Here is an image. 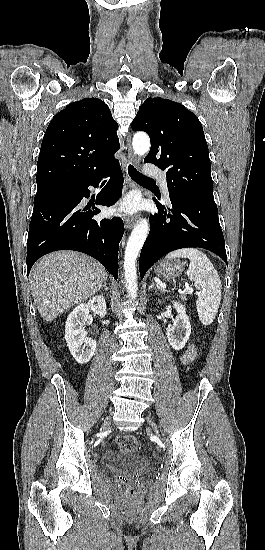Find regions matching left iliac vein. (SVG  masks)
<instances>
[{
  "label": "left iliac vein",
  "instance_id": "1",
  "mask_svg": "<svg viewBox=\"0 0 265 550\" xmlns=\"http://www.w3.org/2000/svg\"><path fill=\"white\" fill-rule=\"evenodd\" d=\"M147 420L149 421L150 425H151L154 429H156V425L153 423V421L151 420V418H150V417H147Z\"/></svg>",
  "mask_w": 265,
  "mask_h": 550
}]
</instances>
